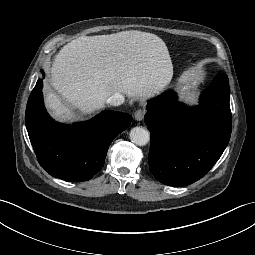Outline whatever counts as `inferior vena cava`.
<instances>
[{"mask_svg": "<svg viewBox=\"0 0 255 255\" xmlns=\"http://www.w3.org/2000/svg\"><path fill=\"white\" fill-rule=\"evenodd\" d=\"M123 102L124 96L120 93H115L106 100V103L111 106H119L123 104Z\"/></svg>", "mask_w": 255, "mask_h": 255, "instance_id": "1", "label": "inferior vena cava"}]
</instances>
